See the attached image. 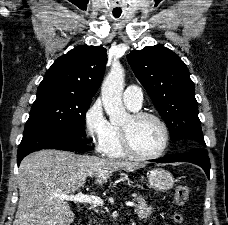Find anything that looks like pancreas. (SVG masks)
I'll return each mask as SVG.
<instances>
[{
  "mask_svg": "<svg viewBox=\"0 0 228 225\" xmlns=\"http://www.w3.org/2000/svg\"><path fill=\"white\" fill-rule=\"evenodd\" d=\"M134 203H138L135 213L138 215L139 219H148L152 215L154 209L152 207H147L143 197H135L133 199Z\"/></svg>",
  "mask_w": 228,
  "mask_h": 225,
  "instance_id": "pancreas-1",
  "label": "pancreas"
}]
</instances>
